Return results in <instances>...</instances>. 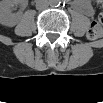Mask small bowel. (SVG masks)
I'll list each match as a JSON object with an SVG mask.
<instances>
[{
    "mask_svg": "<svg viewBox=\"0 0 103 103\" xmlns=\"http://www.w3.org/2000/svg\"><path fill=\"white\" fill-rule=\"evenodd\" d=\"M76 9L83 15L91 17L94 15V9L91 3L87 1L80 2L76 4Z\"/></svg>",
    "mask_w": 103,
    "mask_h": 103,
    "instance_id": "obj_1",
    "label": "small bowel"
}]
</instances>
